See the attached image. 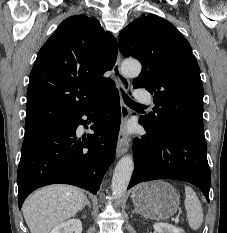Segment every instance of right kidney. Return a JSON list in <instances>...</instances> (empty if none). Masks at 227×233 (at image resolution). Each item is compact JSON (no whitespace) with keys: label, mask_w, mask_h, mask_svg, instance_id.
Segmentation results:
<instances>
[{"label":"right kidney","mask_w":227,"mask_h":233,"mask_svg":"<svg viewBox=\"0 0 227 233\" xmlns=\"http://www.w3.org/2000/svg\"><path fill=\"white\" fill-rule=\"evenodd\" d=\"M50 233H82V223L79 219H71L57 225Z\"/></svg>","instance_id":"ca27d5eb"}]
</instances>
